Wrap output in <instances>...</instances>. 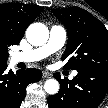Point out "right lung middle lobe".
Listing matches in <instances>:
<instances>
[{"label": "right lung middle lobe", "instance_id": "right-lung-middle-lobe-1", "mask_svg": "<svg viewBox=\"0 0 108 108\" xmlns=\"http://www.w3.org/2000/svg\"><path fill=\"white\" fill-rule=\"evenodd\" d=\"M8 58L7 50H0V65L6 64Z\"/></svg>", "mask_w": 108, "mask_h": 108}]
</instances>
